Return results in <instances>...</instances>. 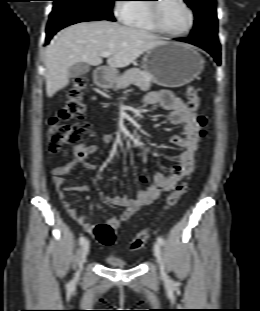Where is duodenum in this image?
Listing matches in <instances>:
<instances>
[{
  "label": "duodenum",
  "instance_id": "410a0bca",
  "mask_svg": "<svg viewBox=\"0 0 260 311\" xmlns=\"http://www.w3.org/2000/svg\"><path fill=\"white\" fill-rule=\"evenodd\" d=\"M108 75L109 70L106 67H102L97 70L95 77L99 83L104 84Z\"/></svg>",
  "mask_w": 260,
  "mask_h": 311
}]
</instances>
